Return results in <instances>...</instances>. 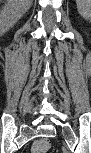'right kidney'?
Instances as JSON below:
<instances>
[{
	"label": "right kidney",
	"instance_id": "obj_1",
	"mask_svg": "<svg viewBox=\"0 0 91 153\" xmlns=\"http://www.w3.org/2000/svg\"><path fill=\"white\" fill-rule=\"evenodd\" d=\"M29 9L22 0H8L1 10L0 31L7 32Z\"/></svg>",
	"mask_w": 91,
	"mask_h": 153
}]
</instances>
